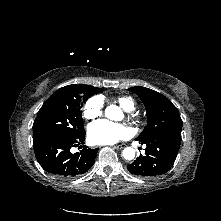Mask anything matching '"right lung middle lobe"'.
Returning <instances> with one entry per match:
<instances>
[{
  "instance_id": "dd1d6c3e",
  "label": "right lung middle lobe",
  "mask_w": 221,
  "mask_h": 221,
  "mask_svg": "<svg viewBox=\"0 0 221 221\" xmlns=\"http://www.w3.org/2000/svg\"><path fill=\"white\" fill-rule=\"evenodd\" d=\"M91 95L84 85H68L54 92L40 108L33 124V146L52 138L82 135L81 107Z\"/></svg>"
}]
</instances>
